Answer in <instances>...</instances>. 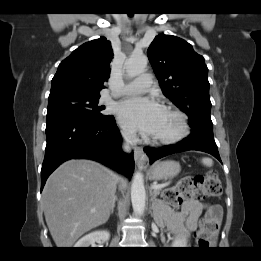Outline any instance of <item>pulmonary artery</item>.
Returning a JSON list of instances; mask_svg holds the SVG:
<instances>
[{"label": "pulmonary artery", "mask_w": 261, "mask_h": 261, "mask_svg": "<svg viewBox=\"0 0 261 261\" xmlns=\"http://www.w3.org/2000/svg\"><path fill=\"white\" fill-rule=\"evenodd\" d=\"M151 74H141L131 82L127 83L119 93H110V96L124 95L130 96L147 92L152 87Z\"/></svg>", "instance_id": "obj_1"}]
</instances>
